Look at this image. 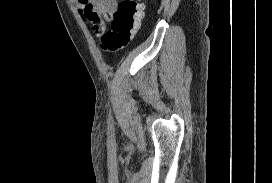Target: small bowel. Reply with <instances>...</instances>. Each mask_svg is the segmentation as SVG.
Segmentation results:
<instances>
[{"label": "small bowel", "mask_w": 272, "mask_h": 183, "mask_svg": "<svg viewBox=\"0 0 272 183\" xmlns=\"http://www.w3.org/2000/svg\"><path fill=\"white\" fill-rule=\"evenodd\" d=\"M77 4L97 33L105 30L106 22L113 19L117 8L116 0H77Z\"/></svg>", "instance_id": "obj_1"}]
</instances>
